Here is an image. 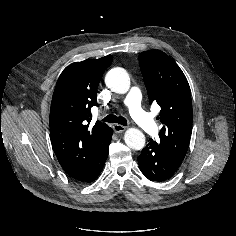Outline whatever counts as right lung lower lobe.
<instances>
[{
  "mask_svg": "<svg viewBox=\"0 0 236 236\" xmlns=\"http://www.w3.org/2000/svg\"><path fill=\"white\" fill-rule=\"evenodd\" d=\"M112 134H113V130L111 129L108 135V139H107V143H106V147L104 151L95 159V161L90 165V167L82 175L74 179H76L79 182L90 183L98 177V175L102 171V168L108 156V149H109L110 141L112 139Z\"/></svg>",
  "mask_w": 236,
  "mask_h": 236,
  "instance_id": "98d812e1",
  "label": "right lung lower lobe"
}]
</instances>
